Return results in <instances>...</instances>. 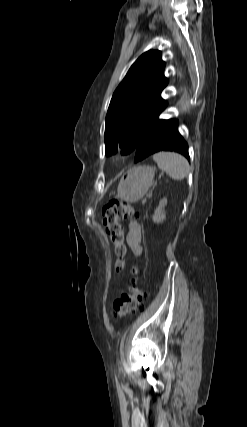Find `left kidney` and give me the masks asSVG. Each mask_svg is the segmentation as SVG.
I'll use <instances>...</instances> for the list:
<instances>
[{
    "mask_svg": "<svg viewBox=\"0 0 247 427\" xmlns=\"http://www.w3.org/2000/svg\"><path fill=\"white\" fill-rule=\"evenodd\" d=\"M166 205H167V199L163 198L160 201L159 206L156 208L154 215L152 216L154 223L159 224L165 220L166 214H165L164 208Z\"/></svg>",
    "mask_w": 247,
    "mask_h": 427,
    "instance_id": "1",
    "label": "left kidney"
}]
</instances>
